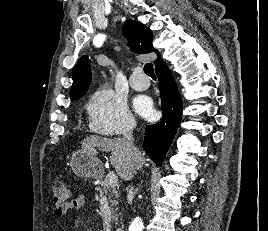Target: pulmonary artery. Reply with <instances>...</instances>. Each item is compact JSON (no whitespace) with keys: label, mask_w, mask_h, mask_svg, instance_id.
Returning a JSON list of instances; mask_svg holds the SVG:
<instances>
[{"label":"pulmonary artery","mask_w":268,"mask_h":231,"mask_svg":"<svg viewBox=\"0 0 268 231\" xmlns=\"http://www.w3.org/2000/svg\"><path fill=\"white\" fill-rule=\"evenodd\" d=\"M130 85L137 91H144L149 87L150 80L143 73L136 72L130 79Z\"/></svg>","instance_id":"e3ab8cb5"}]
</instances>
